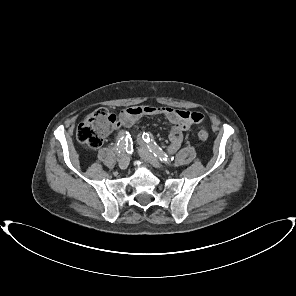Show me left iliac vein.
Wrapping results in <instances>:
<instances>
[{
	"instance_id": "obj_1",
	"label": "left iliac vein",
	"mask_w": 296,
	"mask_h": 296,
	"mask_svg": "<svg viewBox=\"0 0 296 296\" xmlns=\"http://www.w3.org/2000/svg\"><path fill=\"white\" fill-rule=\"evenodd\" d=\"M141 144H143V142H140ZM139 155L146 160L147 162H149L151 165H153L155 168L157 169H163L162 164L160 163V161L152 154L148 151L147 148H145L143 145L140 146V148L138 149Z\"/></svg>"
}]
</instances>
